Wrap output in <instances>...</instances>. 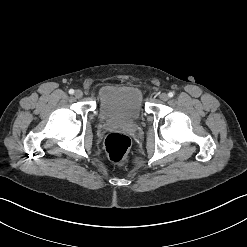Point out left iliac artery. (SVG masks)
Instances as JSON below:
<instances>
[{
    "label": "left iliac artery",
    "instance_id": "1",
    "mask_svg": "<svg viewBox=\"0 0 247 247\" xmlns=\"http://www.w3.org/2000/svg\"><path fill=\"white\" fill-rule=\"evenodd\" d=\"M168 96H169V97H173V96H174V92H169V93H168Z\"/></svg>",
    "mask_w": 247,
    "mask_h": 247
}]
</instances>
